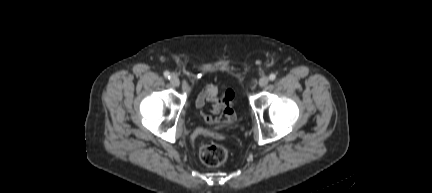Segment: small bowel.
<instances>
[{"mask_svg": "<svg viewBox=\"0 0 432 193\" xmlns=\"http://www.w3.org/2000/svg\"><path fill=\"white\" fill-rule=\"evenodd\" d=\"M207 103L212 104V110L210 113H203V118L211 126L207 133L215 136L217 134L215 129L232 124L236 119V115L232 108L226 106L218 98L217 87L213 84L206 85L195 101L196 107L199 109L204 108Z\"/></svg>", "mask_w": 432, "mask_h": 193, "instance_id": "obj_1", "label": "small bowel"}]
</instances>
